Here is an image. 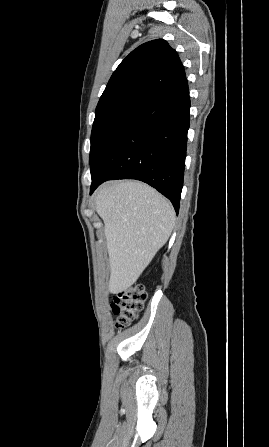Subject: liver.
Segmentation results:
<instances>
[{
    "instance_id": "obj_1",
    "label": "liver",
    "mask_w": 269,
    "mask_h": 447,
    "mask_svg": "<svg viewBox=\"0 0 269 447\" xmlns=\"http://www.w3.org/2000/svg\"><path fill=\"white\" fill-rule=\"evenodd\" d=\"M95 208L104 222L110 293L135 283L175 225V212L154 188L123 180L105 184L95 194Z\"/></svg>"
}]
</instances>
